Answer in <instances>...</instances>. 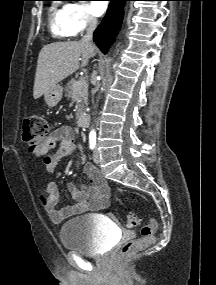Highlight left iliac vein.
<instances>
[{"label":"left iliac vein","mask_w":216,"mask_h":285,"mask_svg":"<svg viewBox=\"0 0 216 285\" xmlns=\"http://www.w3.org/2000/svg\"><path fill=\"white\" fill-rule=\"evenodd\" d=\"M93 161L96 164L100 162V154L97 148L95 149L94 154H93Z\"/></svg>","instance_id":"left-iliac-vein-1"}]
</instances>
